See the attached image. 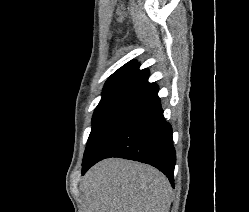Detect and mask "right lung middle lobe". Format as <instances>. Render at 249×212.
<instances>
[{"instance_id": "dd1d6c3e", "label": "right lung middle lobe", "mask_w": 249, "mask_h": 212, "mask_svg": "<svg viewBox=\"0 0 249 212\" xmlns=\"http://www.w3.org/2000/svg\"><path fill=\"white\" fill-rule=\"evenodd\" d=\"M136 98L138 97L129 94L102 96V99L93 114L92 129L84 152L83 163L89 158L99 139L105 133L110 124Z\"/></svg>"}]
</instances>
